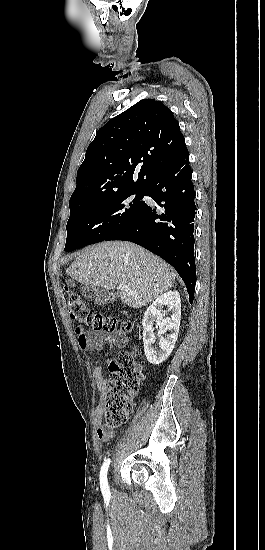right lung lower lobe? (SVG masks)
<instances>
[{
	"label": "right lung lower lobe",
	"instance_id": "right-lung-lower-lobe-1",
	"mask_svg": "<svg viewBox=\"0 0 265 550\" xmlns=\"http://www.w3.org/2000/svg\"><path fill=\"white\" fill-rule=\"evenodd\" d=\"M186 148L150 183L147 195L158 207L144 210L104 240L134 242L172 265L183 279L193 302L196 266L194 259V187Z\"/></svg>",
	"mask_w": 265,
	"mask_h": 550
}]
</instances>
